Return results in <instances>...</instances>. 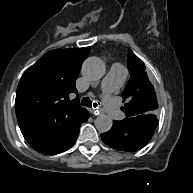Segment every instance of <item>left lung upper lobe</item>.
Masks as SVG:
<instances>
[{"label":"left lung upper lobe","mask_w":193,"mask_h":193,"mask_svg":"<svg viewBox=\"0 0 193 193\" xmlns=\"http://www.w3.org/2000/svg\"><path fill=\"white\" fill-rule=\"evenodd\" d=\"M127 62L131 78L121 95L123 101H127L125 107L122 108L127 115L124 120L137 117L140 119L156 118L157 98L145 72L144 63L130 49Z\"/></svg>","instance_id":"left-lung-upper-lobe-1"}]
</instances>
